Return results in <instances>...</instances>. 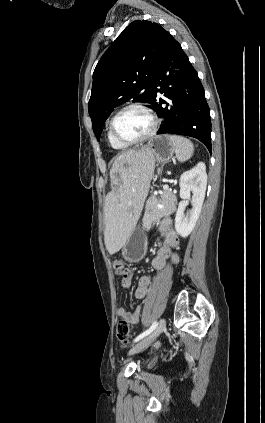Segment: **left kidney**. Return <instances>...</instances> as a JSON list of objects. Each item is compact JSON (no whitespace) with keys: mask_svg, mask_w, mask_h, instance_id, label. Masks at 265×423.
<instances>
[{"mask_svg":"<svg viewBox=\"0 0 265 423\" xmlns=\"http://www.w3.org/2000/svg\"><path fill=\"white\" fill-rule=\"evenodd\" d=\"M179 185L182 201L176 212L175 229L181 237L186 238L194 229L204 202L207 186L205 164L200 162L191 170L184 172L180 177ZM191 192L193 193L192 209L186 215L185 209Z\"/></svg>","mask_w":265,"mask_h":423,"instance_id":"left-kidney-1","label":"left kidney"}]
</instances>
